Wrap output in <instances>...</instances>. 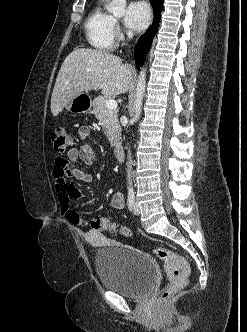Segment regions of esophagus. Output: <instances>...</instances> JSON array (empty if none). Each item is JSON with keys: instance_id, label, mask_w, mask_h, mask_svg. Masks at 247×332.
Segmentation results:
<instances>
[{"instance_id": "esophagus-1", "label": "esophagus", "mask_w": 247, "mask_h": 332, "mask_svg": "<svg viewBox=\"0 0 247 332\" xmlns=\"http://www.w3.org/2000/svg\"><path fill=\"white\" fill-rule=\"evenodd\" d=\"M152 22H153V16H152V18H151V23H150V25H152Z\"/></svg>"}]
</instances>
